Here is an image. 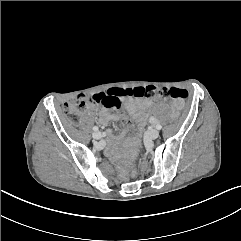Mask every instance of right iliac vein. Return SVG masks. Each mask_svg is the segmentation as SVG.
I'll list each match as a JSON object with an SVG mask.
<instances>
[{"label": "right iliac vein", "instance_id": "right-iliac-vein-1", "mask_svg": "<svg viewBox=\"0 0 241 241\" xmlns=\"http://www.w3.org/2000/svg\"><path fill=\"white\" fill-rule=\"evenodd\" d=\"M101 137H102L101 132L96 131V132L93 133V138L94 139H100Z\"/></svg>", "mask_w": 241, "mask_h": 241}]
</instances>
